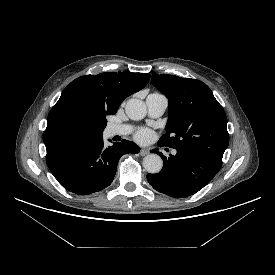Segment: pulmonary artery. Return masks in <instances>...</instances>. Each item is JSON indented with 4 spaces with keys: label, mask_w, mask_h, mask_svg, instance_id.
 I'll return each mask as SVG.
<instances>
[{
    "label": "pulmonary artery",
    "mask_w": 275,
    "mask_h": 275,
    "mask_svg": "<svg viewBox=\"0 0 275 275\" xmlns=\"http://www.w3.org/2000/svg\"><path fill=\"white\" fill-rule=\"evenodd\" d=\"M146 105L148 108V114L152 118H157L163 115L168 106L167 98L159 93H152L146 98ZM132 128L129 125H111L107 128V135L110 137L116 135H127L131 132ZM174 149L172 154H176Z\"/></svg>",
    "instance_id": "obj_1"
}]
</instances>
